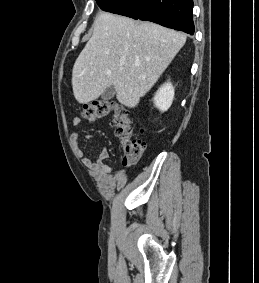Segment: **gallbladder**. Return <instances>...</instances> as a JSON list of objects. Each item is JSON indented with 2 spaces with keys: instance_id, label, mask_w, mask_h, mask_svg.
I'll return each instance as SVG.
<instances>
[{
  "instance_id": "bac80fb5",
  "label": "gallbladder",
  "mask_w": 259,
  "mask_h": 283,
  "mask_svg": "<svg viewBox=\"0 0 259 283\" xmlns=\"http://www.w3.org/2000/svg\"><path fill=\"white\" fill-rule=\"evenodd\" d=\"M115 94H116V91H115L114 87L111 86V87H108L107 89H105L103 91V93L101 94V98L103 100H110L115 96Z\"/></svg>"
}]
</instances>
